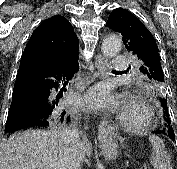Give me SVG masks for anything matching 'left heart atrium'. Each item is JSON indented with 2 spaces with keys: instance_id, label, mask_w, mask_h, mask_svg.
Masks as SVG:
<instances>
[{
  "instance_id": "left-heart-atrium-1",
  "label": "left heart atrium",
  "mask_w": 177,
  "mask_h": 169,
  "mask_svg": "<svg viewBox=\"0 0 177 169\" xmlns=\"http://www.w3.org/2000/svg\"><path fill=\"white\" fill-rule=\"evenodd\" d=\"M85 102L93 109L106 110L118 106V99L107 83H99L85 96Z\"/></svg>"
}]
</instances>
